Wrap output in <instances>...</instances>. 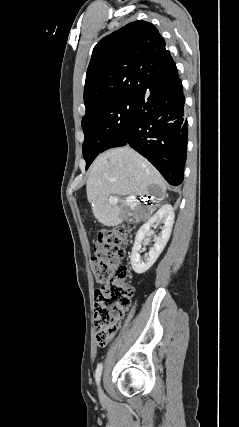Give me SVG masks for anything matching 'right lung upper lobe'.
Here are the masks:
<instances>
[{
    "instance_id": "1",
    "label": "right lung upper lobe",
    "mask_w": 239,
    "mask_h": 427,
    "mask_svg": "<svg viewBox=\"0 0 239 427\" xmlns=\"http://www.w3.org/2000/svg\"><path fill=\"white\" fill-rule=\"evenodd\" d=\"M157 28L131 22L101 39L86 73V110L106 100L136 97L151 86L176 77L177 67Z\"/></svg>"
}]
</instances>
